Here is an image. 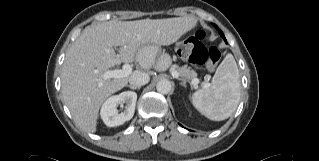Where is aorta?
Listing matches in <instances>:
<instances>
[{
	"mask_svg": "<svg viewBox=\"0 0 319 161\" xmlns=\"http://www.w3.org/2000/svg\"><path fill=\"white\" fill-rule=\"evenodd\" d=\"M156 89L161 94H168L171 91V82L167 79L158 81Z\"/></svg>",
	"mask_w": 319,
	"mask_h": 161,
	"instance_id": "aorta-1",
	"label": "aorta"
}]
</instances>
